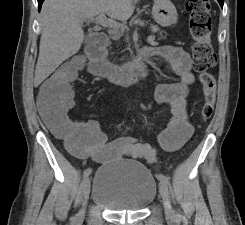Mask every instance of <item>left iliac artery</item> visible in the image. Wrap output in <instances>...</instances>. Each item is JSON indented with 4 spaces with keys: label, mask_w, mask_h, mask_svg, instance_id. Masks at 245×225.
<instances>
[{
    "label": "left iliac artery",
    "mask_w": 245,
    "mask_h": 225,
    "mask_svg": "<svg viewBox=\"0 0 245 225\" xmlns=\"http://www.w3.org/2000/svg\"><path fill=\"white\" fill-rule=\"evenodd\" d=\"M157 178H158L159 181L164 182L167 185H170L169 177L160 174V175H157Z\"/></svg>",
    "instance_id": "obj_1"
}]
</instances>
